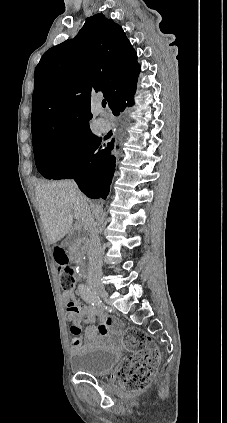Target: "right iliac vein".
I'll list each match as a JSON object with an SVG mask.
<instances>
[{"label": "right iliac vein", "instance_id": "obj_1", "mask_svg": "<svg viewBox=\"0 0 227 423\" xmlns=\"http://www.w3.org/2000/svg\"><path fill=\"white\" fill-rule=\"evenodd\" d=\"M92 290L104 299H108L109 297L108 292L103 287L93 288Z\"/></svg>", "mask_w": 227, "mask_h": 423}]
</instances>
